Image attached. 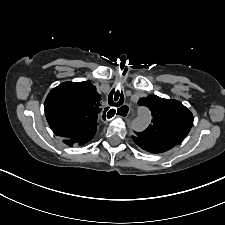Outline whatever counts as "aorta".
Returning <instances> with one entry per match:
<instances>
[{
    "label": "aorta",
    "mask_w": 225,
    "mask_h": 225,
    "mask_svg": "<svg viewBox=\"0 0 225 225\" xmlns=\"http://www.w3.org/2000/svg\"><path fill=\"white\" fill-rule=\"evenodd\" d=\"M151 121L150 112L146 109H141L138 116L132 122V128L135 131H143L147 128Z\"/></svg>",
    "instance_id": "1"
}]
</instances>
